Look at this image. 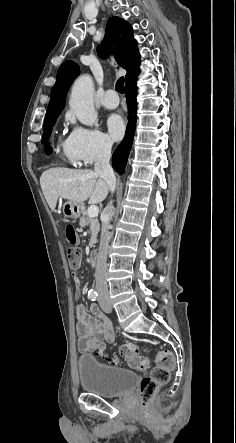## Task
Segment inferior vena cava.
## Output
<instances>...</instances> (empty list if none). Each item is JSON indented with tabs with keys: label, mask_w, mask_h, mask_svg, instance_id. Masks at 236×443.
<instances>
[{
	"label": "inferior vena cava",
	"mask_w": 236,
	"mask_h": 443,
	"mask_svg": "<svg viewBox=\"0 0 236 443\" xmlns=\"http://www.w3.org/2000/svg\"><path fill=\"white\" fill-rule=\"evenodd\" d=\"M112 140L108 137L102 139L99 150L95 156L94 171L95 174L103 178L108 185L111 193L114 192L116 187V178L114 170L111 167L109 160L111 157ZM113 201H110L105 207L103 215L104 219L101 227V239L99 245V252L97 257V264L95 270V282L96 290L98 292V301L100 305L111 303L107 280H106V269H107V253L109 246V232L108 226L109 221L112 217Z\"/></svg>",
	"instance_id": "obj_1"
}]
</instances>
